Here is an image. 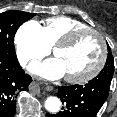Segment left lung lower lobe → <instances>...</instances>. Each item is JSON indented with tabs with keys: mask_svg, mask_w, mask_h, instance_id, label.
Returning a JSON list of instances; mask_svg holds the SVG:
<instances>
[{
	"mask_svg": "<svg viewBox=\"0 0 117 117\" xmlns=\"http://www.w3.org/2000/svg\"><path fill=\"white\" fill-rule=\"evenodd\" d=\"M58 97L64 103L62 111L46 117H95L106 101L109 88L93 80L85 85L58 87Z\"/></svg>",
	"mask_w": 117,
	"mask_h": 117,
	"instance_id": "left-lung-lower-lobe-1",
	"label": "left lung lower lobe"
}]
</instances>
